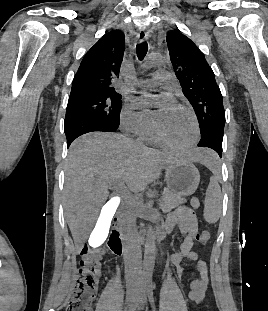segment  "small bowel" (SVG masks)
Segmentation results:
<instances>
[{
  "mask_svg": "<svg viewBox=\"0 0 268 311\" xmlns=\"http://www.w3.org/2000/svg\"><path fill=\"white\" fill-rule=\"evenodd\" d=\"M178 226L184 239L180 243L179 249L171 255V262L177 267V274L180 277L185 269L181 266L182 261L187 258L196 261V271L199 275L190 283L189 299L193 303H201L208 288V268L203 260L198 259V254L193 251L197 240L198 220L194 211L188 207H180L169 214L161 230L164 233H171Z\"/></svg>",
  "mask_w": 268,
  "mask_h": 311,
  "instance_id": "1",
  "label": "small bowel"
}]
</instances>
